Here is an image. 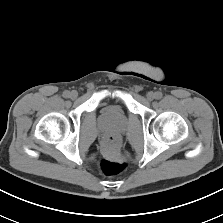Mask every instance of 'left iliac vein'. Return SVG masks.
Segmentation results:
<instances>
[{
	"label": "left iliac vein",
	"mask_w": 223,
	"mask_h": 223,
	"mask_svg": "<svg viewBox=\"0 0 223 223\" xmlns=\"http://www.w3.org/2000/svg\"><path fill=\"white\" fill-rule=\"evenodd\" d=\"M146 97L147 100L152 101L155 98V94L152 91H150L147 93Z\"/></svg>",
	"instance_id": "1"
}]
</instances>
